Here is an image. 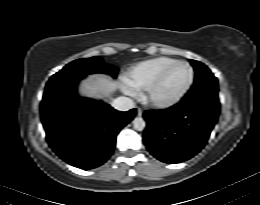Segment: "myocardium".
<instances>
[{"label":"myocardium","instance_id":"f54148a6","mask_svg":"<svg viewBox=\"0 0 260 205\" xmlns=\"http://www.w3.org/2000/svg\"><path fill=\"white\" fill-rule=\"evenodd\" d=\"M183 64L186 65L191 73L189 83L187 86L175 97L167 99V100H158L153 97V91L155 88L162 82L165 75L176 65ZM195 82V71L192 65L184 60H177L168 66H166L163 70L160 71V73L147 85V87L144 90V93L142 95V99L149 105L159 108V109H168L175 105H177L179 102L183 100V98L188 94V92L191 90Z\"/></svg>","mask_w":260,"mask_h":205}]
</instances>
